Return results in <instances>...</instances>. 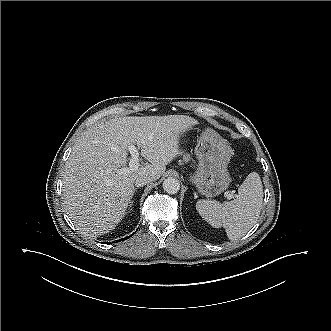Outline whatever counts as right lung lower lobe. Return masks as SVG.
I'll return each mask as SVG.
<instances>
[{
  "label": "right lung lower lobe",
  "instance_id": "1",
  "mask_svg": "<svg viewBox=\"0 0 331 331\" xmlns=\"http://www.w3.org/2000/svg\"><path fill=\"white\" fill-rule=\"evenodd\" d=\"M133 235V234H132ZM132 235H130L129 237H127V238H130ZM127 238H125V239H127Z\"/></svg>",
  "mask_w": 331,
  "mask_h": 331
}]
</instances>
